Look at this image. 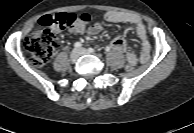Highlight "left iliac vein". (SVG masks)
<instances>
[{
	"label": "left iliac vein",
	"mask_w": 194,
	"mask_h": 133,
	"mask_svg": "<svg viewBox=\"0 0 194 133\" xmlns=\"http://www.w3.org/2000/svg\"><path fill=\"white\" fill-rule=\"evenodd\" d=\"M80 55H86V54H90L91 52H89V50L85 49V48H80L79 50Z\"/></svg>",
	"instance_id": "1"
}]
</instances>
